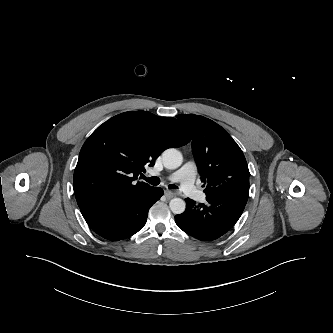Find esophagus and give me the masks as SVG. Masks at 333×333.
Instances as JSON below:
<instances>
[{
    "label": "esophagus",
    "instance_id": "1",
    "mask_svg": "<svg viewBox=\"0 0 333 333\" xmlns=\"http://www.w3.org/2000/svg\"><path fill=\"white\" fill-rule=\"evenodd\" d=\"M164 195H165V197H166L167 199H171V198L175 197L177 194L174 193V192H172V191H170V190H166V191L164 192Z\"/></svg>",
    "mask_w": 333,
    "mask_h": 333
}]
</instances>
